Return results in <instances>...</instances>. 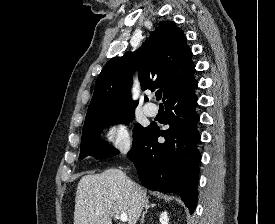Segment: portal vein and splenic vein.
Here are the masks:
<instances>
[{"mask_svg":"<svg viewBox=\"0 0 275 224\" xmlns=\"http://www.w3.org/2000/svg\"><path fill=\"white\" fill-rule=\"evenodd\" d=\"M118 218H119V220L120 221H122V222H127V220H128V217H127V215L126 214H120L119 216L118 215H116Z\"/></svg>","mask_w":275,"mask_h":224,"instance_id":"portal-vein-and-splenic-vein-1","label":"portal vein and splenic vein"}]
</instances>
